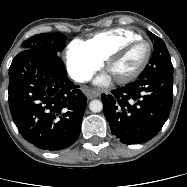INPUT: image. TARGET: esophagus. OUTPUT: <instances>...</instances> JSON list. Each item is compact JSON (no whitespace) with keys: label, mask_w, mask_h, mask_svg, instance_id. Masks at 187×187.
Here are the masks:
<instances>
[{"label":"esophagus","mask_w":187,"mask_h":187,"mask_svg":"<svg viewBox=\"0 0 187 187\" xmlns=\"http://www.w3.org/2000/svg\"><path fill=\"white\" fill-rule=\"evenodd\" d=\"M84 93L88 99H93L100 95L98 91L92 90L88 87L84 88Z\"/></svg>","instance_id":"1"}]
</instances>
